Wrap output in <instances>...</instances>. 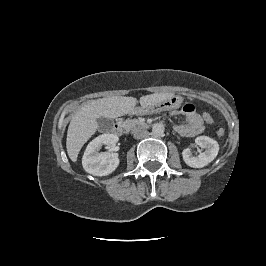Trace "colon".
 <instances>
[{
	"label": "colon",
	"instance_id": "1",
	"mask_svg": "<svg viewBox=\"0 0 266 266\" xmlns=\"http://www.w3.org/2000/svg\"><path fill=\"white\" fill-rule=\"evenodd\" d=\"M203 119L208 124H212L214 122L213 116L210 113H207V112L203 114ZM224 133H225V130L223 128H219L217 130V135L218 136H223Z\"/></svg>",
	"mask_w": 266,
	"mask_h": 266
}]
</instances>
